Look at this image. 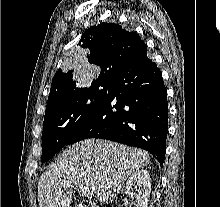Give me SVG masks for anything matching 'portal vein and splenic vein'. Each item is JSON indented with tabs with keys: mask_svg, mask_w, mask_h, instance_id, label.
I'll return each instance as SVG.
<instances>
[{
	"mask_svg": "<svg viewBox=\"0 0 220 207\" xmlns=\"http://www.w3.org/2000/svg\"><path fill=\"white\" fill-rule=\"evenodd\" d=\"M71 184L75 185L78 188V190L80 192H82L83 196H85L87 198H92L93 191L90 190L87 186H84L83 184L78 183L77 181H73V182L68 181V182L64 183V187H69V186H71Z\"/></svg>",
	"mask_w": 220,
	"mask_h": 207,
	"instance_id": "18ae733b",
	"label": "portal vein and splenic vein"
}]
</instances>
